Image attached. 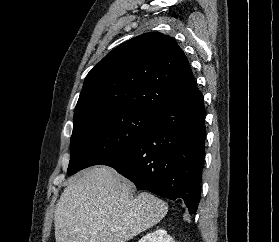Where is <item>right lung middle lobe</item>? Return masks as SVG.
Here are the masks:
<instances>
[{
  "instance_id": "obj_1",
  "label": "right lung middle lobe",
  "mask_w": 279,
  "mask_h": 242,
  "mask_svg": "<svg viewBox=\"0 0 279 242\" xmlns=\"http://www.w3.org/2000/svg\"><path fill=\"white\" fill-rule=\"evenodd\" d=\"M157 113L118 109L74 118L68 175L120 154L155 126Z\"/></svg>"
}]
</instances>
